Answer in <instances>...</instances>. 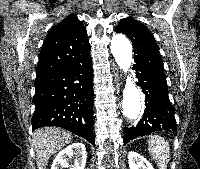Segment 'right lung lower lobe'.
I'll use <instances>...</instances> for the list:
<instances>
[{
	"instance_id": "right-lung-lower-lobe-1",
	"label": "right lung lower lobe",
	"mask_w": 200,
	"mask_h": 169,
	"mask_svg": "<svg viewBox=\"0 0 200 169\" xmlns=\"http://www.w3.org/2000/svg\"><path fill=\"white\" fill-rule=\"evenodd\" d=\"M33 130L58 126L94 145L93 69L90 53L68 68L36 77Z\"/></svg>"
}]
</instances>
